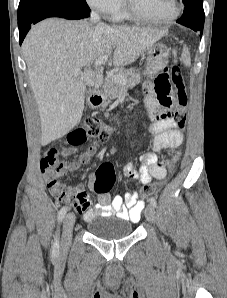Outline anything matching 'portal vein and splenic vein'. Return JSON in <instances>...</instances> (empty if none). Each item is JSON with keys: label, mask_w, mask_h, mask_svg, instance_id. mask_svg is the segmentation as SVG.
Segmentation results:
<instances>
[{"label": "portal vein and splenic vein", "mask_w": 227, "mask_h": 298, "mask_svg": "<svg viewBox=\"0 0 227 298\" xmlns=\"http://www.w3.org/2000/svg\"><path fill=\"white\" fill-rule=\"evenodd\" d=\"M107 61H108V56L107 55L102 56V57H100L99 59H97L95 61V67L101 66L102 64L106 63ZM80 74H81L80 69H77L73 72L74 76H79ZM114 81L117 82V83H124L125 82L124 78L121 77V76H115Z\"/></svg>", "instance_id": "1"}]
</instances>
